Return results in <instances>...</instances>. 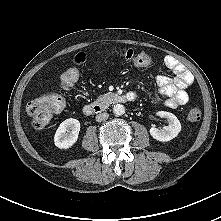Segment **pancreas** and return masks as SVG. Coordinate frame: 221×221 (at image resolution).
<instances>
[{"label": "pancreas", "instance_id": "obj_1", "mask_svg": "<svg viewBox=\"0 0 221 221\" xmlns=\"http://www.w3.org/2000/svg\"><path fill=\"white\" fill-rule=\"evenodd\" d=\"M114 98V94L113 93H107L104 95L99 96L95 103H100V104H109Z\"/></svg>", "mask_w": 221, "mask_h": 221}]
</instances>
